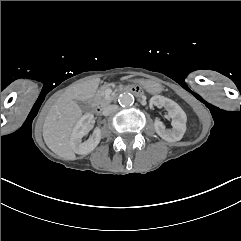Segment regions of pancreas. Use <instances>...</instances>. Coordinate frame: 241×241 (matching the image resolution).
<instances>
[{"instance_id":"cf45deb5","label":"pancreas","mask_w":241,"mask_h":241,"mask_svg":"<svg viewBox=\"0 0 241 241\" xmlns=\"http://www.w3.org/2000/svg\"><path fill=\"white\" fill-rule=\"evenodd\" d=\"M105 88L106 87L103 86V88L100 89L97 93V99L99 100L98 104L101 105L102 107L108 105L111 102V100L105 98V92H104Z\"/></svg>"}]
</instances>
